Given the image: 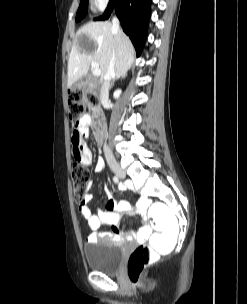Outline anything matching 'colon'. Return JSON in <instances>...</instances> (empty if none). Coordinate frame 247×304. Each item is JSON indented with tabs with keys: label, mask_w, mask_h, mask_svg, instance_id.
<instances>
[{
	"label": "colon",
	"mask_w": 247,
	"mask_h": 304,
	"mask_svg": "<svg viewBox=\"0 0 247 304\" xmlns=\"http://www.w3.org/2000/svg\"><path fill=\"white\" fill-rule=\"evenodd\" d=\"M68 113L71 122H79L88 110L96 107L99 100L95 94L86 93L81 88H75L68 93ZM89 106V107H88ZM76 130V129H75ZM90 176L84 165H74L72 183L76 200L81 203L86 194ZM124 209L123 204L116 206ZM113 211V203H109L105 212ZM153 237L150 245H139L129 256L127 273L133 284H138L144 268L153 261L154 253H173V244H177L180 220L176 214L168 210L165 202H152L149 206Z\"/></svg>",
	"instance_id": "1"
}]
</instances>
